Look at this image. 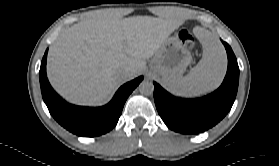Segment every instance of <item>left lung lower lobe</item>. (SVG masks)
Returning <instances> with one entry per match:
<instances>
[{
  "label": "left lung lower lobe",
  "mask_w": 279,
  "mask_h": 166,
  "mask_svg": "<svg viewBox=\"0 0 279 166\" xmlns=\"http://www.w3.org/2000/svg\"><path fill=\"white\" fill-rule=\"evenodd\" d=\"M228 70L222 85L213 93L198 99L176 98L154 82V101L164 123L184 134L206 131L222 120L231 109L238 89L239 67L231 47L224 41Z\"/></svg>",
  "instance_id": "0a47b994"
}]
</instances>
